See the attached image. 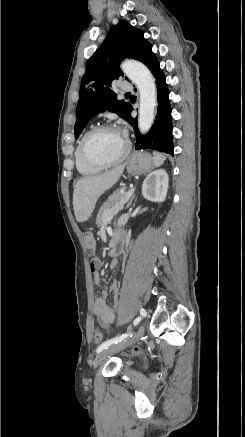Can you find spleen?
Returning <instances> with one entry per match:
<instances>
[{"label":"spleen","mask_w":245,"mask_h":437,"mask_svg":"<svg viewBox=\"0 0 245 437\" xmlns=\"http://www.w3.org/2000/svg\"><path fill=\"white\" fill-rule=\"evenodd\" d=\"M153 156H154L153 158H154V165H155V167L161 166L164 163L165 159H166L164 154H162L160 152H157V151L153 152Z\"/></svg>","instance_id":"1"}]
</instances>
